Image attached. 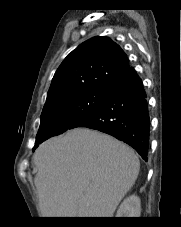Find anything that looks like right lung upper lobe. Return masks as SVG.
I'll return each instance as SVG.
<instances>
[{
    "instance_id": "obj_1",
    "label": "right lung upper lobe",
    "mask_w": 181,
    "mask_h": 227,
    "mask_svg": "<svg viewBox=\"0 0 181 227\" xmlns=\"http://www.w3.org/2000/svg\"><path fill=\"white\" fill-rule=\"evenodd\" d=\"M131 70L126 54L110 38H91L73 50L52 79L44 107L60 98L110 88Z\"/></svg>"
}]
</instances>
